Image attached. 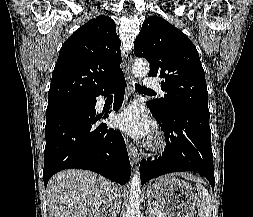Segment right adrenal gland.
Instances as JSON below:
<instances>
[{
    "label": "right adrenal gland",
    "instance_id": "2a0ac1e0",
    "mask_svg": "<svg viewBox=\"0 0 253 217\" xmlns=\"http://www.w3.org/2000/svg\"><path fill=\"white\" fill-rule=\"evenodd\" d=\"M114 209H116V206H114ZM110 217H116V213L114 215L111 214Z\"/></svg>",
    "mask_w": 253,
    "mask_h": 217
}]
</instances>
